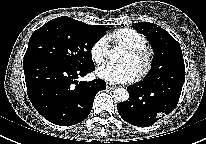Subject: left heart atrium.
<instances>
[{
    "mask_svg": "<svg viewBox=\"0 0 206 144\" xmlns=\"http://www.w3.org/2000/svg\"><path fill=\"white\" fill-rule=\"evenodd\" d=\"M97 76L110 83H129L137 78V72L130 63H109L97 69Z\"/></svg>",
    "mask_w": 206,
    "mask_h": 144,
    "instance_id": "1",
    "label": "left heart atrium"
}]
</instances>
